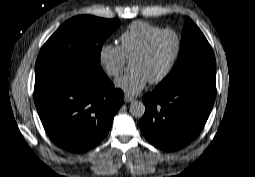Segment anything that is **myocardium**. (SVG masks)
I'll list each match as a JSON object with an SVG mask.
<instances>
[{"mask_svg":"<svg viewBox=\"0 0 255 177\" xmlns=\"http://www.w3.org/2000/svg\"><path fill=\"white\" fill-rule=\"evenodd\" d=\"M164 34H172L174 36L175 41H176V48H175V51H174L170 61L168 62L166 68L164 69V71L158 77L149 80V82L152 84H158V83L164 81L171 73V71H172L175 63L177 62V60L181 54V51H182V41H181L180 35L173 29H162V30L156 32L155 34H153L151 37H149V39L146 41V43L144 44L142 49L132 59V61H133L135 59L145 57L148 54V52L151 49L154 42L160 36H162Z\"/></svg>","mask_w":255,"mask_h":177,"instance_id":"f54148a6","label":"myocardium"}]
</instances>
